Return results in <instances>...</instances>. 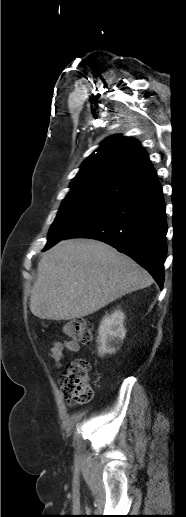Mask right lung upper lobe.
<instances>
[{"mask_svg": "<svg viewBox=\"0 0 186 517\" xmlns=\"http://www.w3.org/2000/svg\"><path fill=\"white\" fill-rule=\"evenodd\" d=\"M157 182L156 172L139 142L116 135L104 140L83 162L66 197L95 196L119 200Z\"/></svg>", "mask_w": 186, "mask_h": 517, "instance_id": "1", "label": "right lung upper lobe"}]
</instances>
